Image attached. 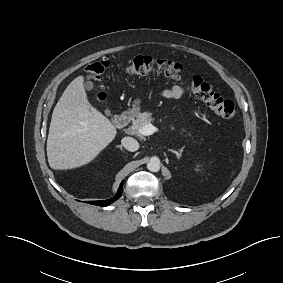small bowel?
Instances as JSON below:
<instances>
[{"label": "small bowel", "mask_w": 283, "mask_h": 283, "mask_svg": "<svg viewBox=\"0 0 283 283\" xmlns=\"http://www.w3.org/2000/svg\"><path fill=\"white\" fill-rule=\"evenodd\" d=\"M186 93L185 89L181 86H172L171 88L164 89L159 93V96L166 99H178Z\"/></svg>", "instance_id": "small-bowel-1"}]
</instances>
